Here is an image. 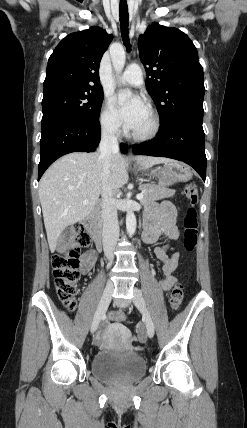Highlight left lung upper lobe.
<instances>
[{
  "mask_svg": "<svg viewBox=\"0 0 247 428\" xmlns=\"http://www.w3.org/2000/svg\"><path fill=\"white\" fill-rule=\"evenodd\" d=\"M139 57L146 88L162 122L177 114L203 115V71L195 45L176 28L153 23L139 37Z\"/></svg>",
  "mask_w": 247,
  "mask_h": 428,
  "instance_id": "obj_1",
  "label": "left lung upper lobe"
}]
</instances>
